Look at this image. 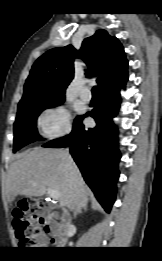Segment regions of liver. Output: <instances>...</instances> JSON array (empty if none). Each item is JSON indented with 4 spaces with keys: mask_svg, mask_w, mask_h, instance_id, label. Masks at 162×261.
<instances>
[{
    "mask_svg": "<svg viewBox=\"0 0 162 261\" xmlns=\"http://www.w3.org/2000/svg\"><path fill=\"white\" fill-rule=\"evenodd\" d=\"M68 156L65 150L41 147L20 154L7 174L6 202H13L17 195L40 197L52 188L59 192L61 206L71 210L87 206L90 190L75 163L69 165Z\"/></svg>",
    "mask_w": 162,
    "mask_h": 261,
    "instance_id": "liver-1",
    "label": "liver"
}]
</instances>
